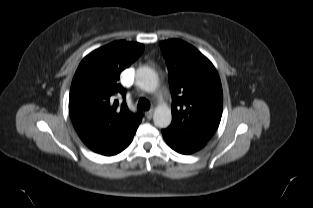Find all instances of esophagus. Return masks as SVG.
Returning a JSON list of instances; mask_svg holds the SVG:
<instances>
[{
    "instance_id": "1",
    "label": "esophagus",
    "mask_w": 313,
    "mask_h": 208,
    "mask_svg": "<svg viewBox=\"0 0 313 208\" xmlns=\"http://www.w3.org/2000/svg\"><path fill=\"white\" fill-rule=\"evenodd\" d=\"M145 116H146V118L148 120L152 119V117H153V109L146 111L145 112Z\"/></svg>"
}]
</instances>
